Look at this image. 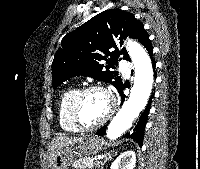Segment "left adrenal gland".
Listing matches in <instances>:
<instances>
[{
    "label": "left adrenal gland",
    "instance_id": "1",
    "mask_svg": "<svg viewBox=\"0 0 200 169\" xmlns=\"http://www.w3.org/2000/svg\"><path fill=\"white\" fill-rule=\"evenodd\" d=\"M115 155H117V152H115V151H111V152L106 153L105 156H104V160H103V162L101 163L100 169H103L104 164H105L107 161L111 160L112 157L115 156Z\"/></svg>",
    "mask_w": 200,
    "mask_h": 169
}]
</instances>
